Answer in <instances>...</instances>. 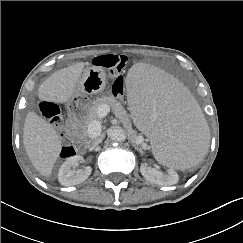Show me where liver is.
<instances>
[{
  "instance_id": "6515ba94",
  "label": "liver",
  "mask_w": 243,
  "mask_h": 243,
  "mask_svg": "<svg viewBox=\"0 0 243 243\" xmlns=\"http://www.w3.org/2000/svg\"><path fill=\"white\" fill-rule=\"evenodd\" d=\"M85 65L80 62L53 73L39 86L38 97L47 102L67 103L75 93ZM23 143L35 169L49 177L62 147L54 127L36 113L29 112L24 123Z\"/></svg>"
}]
</instances>
